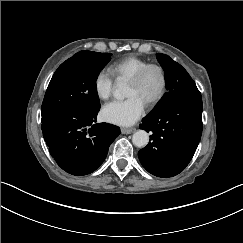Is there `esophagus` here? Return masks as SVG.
<instances>
[{"label": "esophagus", "instance_id": "esophagus-1", "mask_svg": "<svg viewBox=\"0 0 243 243\" xmlns=\"http://www.w3.org/2000/svg\"><path fill=\"white\" fill-rule=\"evenodd\" d=\"M133 132L132 129H129V128H121V133L122 134H131Z\"/></svg>", "mask_w": 243, "mask_h": 243}]
</instances>
